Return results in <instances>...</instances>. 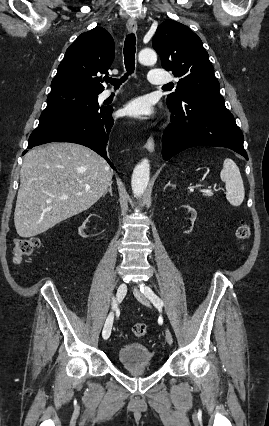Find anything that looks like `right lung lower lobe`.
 I'll list each match as a JSON object with an SVG mask.
<instances>
[{"label":"right lung lower lobe","mask_w":269,"mask_h":426,"mask_svg":"<svg viewBox=\"0 0 269 426\" xmlns=\"http://www.w3.org/2000/svg\"><path fill=\"white\" fill-rule=\"evenodd\" d=\"M113 108L99 107L88 112L39 125L30 135L28 149L49 142H72L91 148L108 159L106 145L114 123ZM24 151L23 154H25Z\"/></svg>","instance_id":"98d812e1"}]
</instances>
